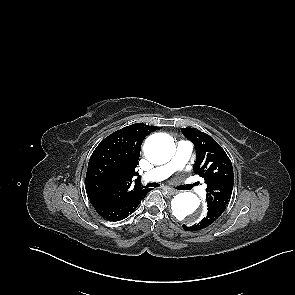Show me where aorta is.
I'll use <instances>...</instances> for the list:
<instances>
[{"mask_svg": "<svg viewBox=\"0 0 295 295\" xmlns=\"http://www.w3.org/2000/svg\"><path fill=\"white\" fill-rule=\"evenodd\" d=\"M175 151V144L167 134L156 133L147 138L144 144V154L153 164L168 162ZM200 206L199 198L191 192L179 193L171 201V209L174 217L188 224H196L201 220L198 213Z\"/></svg>", "mask_w": 295, "mask_h": 295, "instance_id": "aorta-1", "label": "aorta"}]
</instances>
